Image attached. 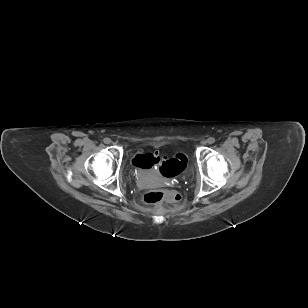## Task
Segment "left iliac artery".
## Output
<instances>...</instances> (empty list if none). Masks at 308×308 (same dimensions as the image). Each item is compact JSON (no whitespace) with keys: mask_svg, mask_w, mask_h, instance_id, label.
Segmentation results:
<instances>
[{"mask_svg":"<svg viewBox=\"0 0 308 308\" xmlns=\"http://www.w3.org/2000/svg\"><path fill=\"white\" fill-rule=\"evenodd\" d=\"M214 142H215V139H214V138L211 137V138L208 139V143H209V144H213Z\"/></svg>","mask_w":308,"mask_h":308,"instance_id":"obj_1","label":"left iliac artery"}]
</instances>
